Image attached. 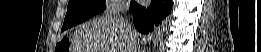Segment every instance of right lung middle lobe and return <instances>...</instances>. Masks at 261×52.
Instances as JSON below:
<instances>
[{"instance_id":"1","label":"right lung middle lobe","mask_w":261,"mask_h":52,"mask_svg":"<svg viewBox=\"0 0 261 52\" xmlns=\"http://www.w3.org/2000/svg\"><path fill=\"white\" fill-rule=\"evenodd\" d=\"M104 0H70L61 31L75 26L105 9Z\"/></svg>"}]
</instances>
